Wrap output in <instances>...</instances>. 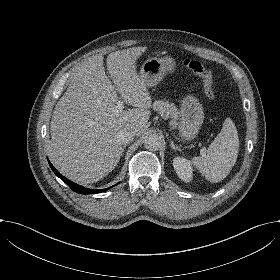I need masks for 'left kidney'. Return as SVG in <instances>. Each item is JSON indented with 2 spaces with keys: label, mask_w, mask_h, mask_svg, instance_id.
Listing matches in <instances>:
<instances>
[{
  "label": "left kidney",
  "mask_w": 280,
  "mask_h": 280,
  "mask_svg": "<svg viewBox=\"0 0 280 280\" xmlns=\"http://www.w3.org/2000/svg\"><path fill=\"white\" fill-rule=\"evenodd\" d=\"M173 168L177 176L185 183H192L194 180V167L192 162L183 157L175 156L172 162Z\"/></svg>",
  "instance_id": "obj_1"
}]
</instances>
